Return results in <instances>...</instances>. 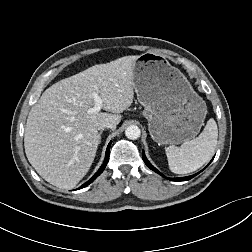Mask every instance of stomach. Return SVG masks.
<instances>
[{
	"label": "stomach",
	"instance_id": "0dacf381",
	"mask_svg": "<svg viewBox=\"0 0 252 252\" xmlns=\"http://www.w3.org/2000/svg\"><path fill=\"white\" fill-rule=\"evenodd\" d=\"M133 83L154 141L175 145L195 138L207 114L206 104L166 57L151 52L137 56Z\"/></svg>",
	"mask_w": 252,
	"mask_h": 252
}]
</instances>
